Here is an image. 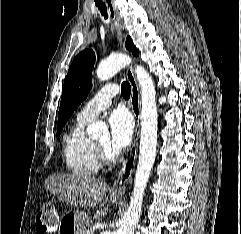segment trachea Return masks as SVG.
<instances>
[{
    "label": "trachea",
    "instance_id": "obj_1",
    "mask_svg": "<svg viewBox=\"0 0 241 234\" xmlns=\"http://www.w3.org/2000/svg\"><path fill=\"white\" fill-rule=\"evenodd\" d=\"M96 6L99 8L101 14L104 16L105 19L108 18V14H107V8L106 5L103 3L102 0H94ZM131 94V86L128 82H123L122 83V95L125 98H129Z\"/></svg>",
    "mask_w": 241,
    "mask_h": 234
}]
</instances>
